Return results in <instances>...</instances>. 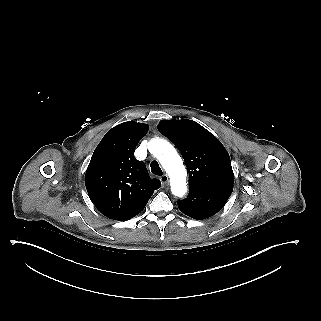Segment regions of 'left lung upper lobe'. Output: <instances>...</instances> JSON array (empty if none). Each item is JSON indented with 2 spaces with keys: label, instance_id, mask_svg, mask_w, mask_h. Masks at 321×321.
Instances as JSON below:
<instances>
[{
  "label": "left lung upper lobe",
  "instance_id": "1",
  "mask_svg": "<svg viewBox=\"0 0 321 321\" xmlns=\"http://www.w3.org/2000/svg\"><path fill=\"white\" fill-rule=\"evenodd\" d=\"M158 129L181 152L189 172L190 188L233 186L229 154L208 130L188 119L162 120Z\"/></svg>",
  "mask_w": 321,
  "mask_h": 321
}]
</instances>
